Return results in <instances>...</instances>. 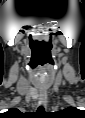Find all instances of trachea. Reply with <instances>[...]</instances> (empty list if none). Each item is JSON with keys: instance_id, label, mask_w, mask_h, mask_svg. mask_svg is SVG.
<instances>
[{"instance_id": "3493384b", "label": "trachea", "mask_w": 85, "mask_h": 118, "mask_svg": "<svg viewBox=\"0 0 85 118\" xmlns=\"http://www.w3.org/2000/svg\"><path fill=\"white\" fill-rule=\"evenodd\" d=\"M38 111H39V112H44L43 106H40V107L38 108Z\"/></svg>"}]
</instances>
